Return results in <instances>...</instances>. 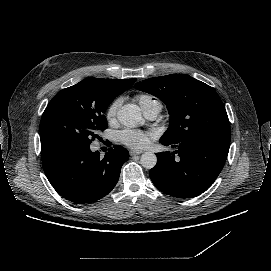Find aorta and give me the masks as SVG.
<instances>
[{"label":"aorta","instance_id":"762f6f07","mask_svg":"<svg viewBox=\"0 0 271 271\" xmlns=\"http://www.w3.org/2000/svg\"><path fill=\"white\" fill-rule=\"evenodd\" d=\"M117 118L125 127L142 125L140 108L136 104L126 103L117 111ZM141 165L146 169H152L157 164V156L152 152H145L140 158Z\"/></svg>","mask_w":271,"mask_h":271}]
</instances>
